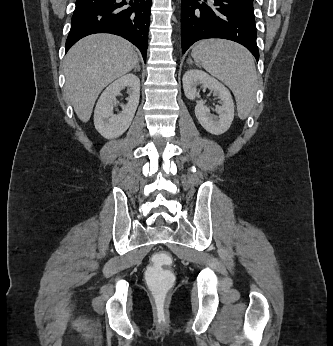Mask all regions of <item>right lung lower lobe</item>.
<instances>
[{
    "instance_id": "1",
    "label": "right lung lower lobe",
    "mask_w": 333,
    "mask_h": 346,
    "mask_svg": "<svg viewBox=\"0 0 333 346\" xmlns=\"http://www.w3.org/2000/svg\"><path fill=\"white\" fill-rule=\"evenodd\" d=\"M151 5L152 0H76L66 52L87 35L111 33L133 43L146 61Z\"/></svg>"
}]
</instances>
